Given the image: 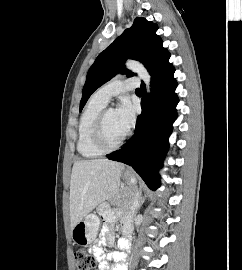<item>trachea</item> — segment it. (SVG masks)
<instances>
[{"instance_id": "3493384b", "label": "trachea", "mask_w": 242, "mask_h": 270, "mask_svg": "<svg viewBox=\"0 0 242 270\" xmlns=\"http://www.w3.org/2000/svg\"><path fill=\"white\" fill-rule=\"evenodd\" d=\"M135 92H141V90L138 88V89L135 90Z\"/></svg>"}]
</instances>
